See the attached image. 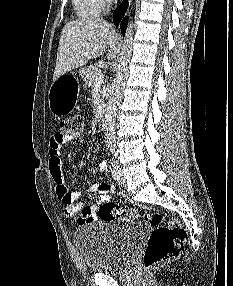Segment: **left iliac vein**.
<instances>
[{
    "instance_id": "4c4485c4",
    "label": "left iliac vein",
    "mask_w": 233,
    "mask_h": 286,
    "mask_svg": "<svg viewBox=\"0 0 233 286\" xmlns=\"http://www.w3.org/2000/svg\"><path fill=\"white\" fill-rule=\"evenodd\" d=\"M111 173L114 180L118 183V185L124 187L126 186V179L124 174L122 173L121 168L118 166L116 160L111 163Z\"/></svg>"
}]
</instances>
